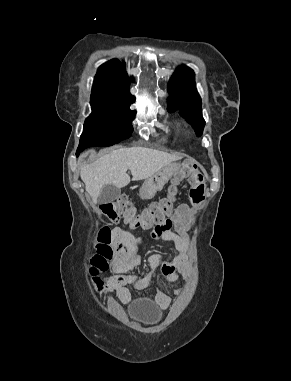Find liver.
<instances>
[{
    "mask_svg": "<svg viewBox=\"0 0 291 381\" xmlns=\"http://www.w3.org/2000/svg\"><path fill=\"white\" fill-rule=\"evenodd\" d=\"M180 158L176 154L145 147L121 148L105 154L91 164H84L80 176L86 191L96 204L105 185L122 188L130 183V176L126 173L128 169L133 181L143 180Z\"/></svg>",
    "mask_w": 291,
    "mask_h": 381,
    "instance_id": "1",
    "label": "liver"
}]
</instances>
